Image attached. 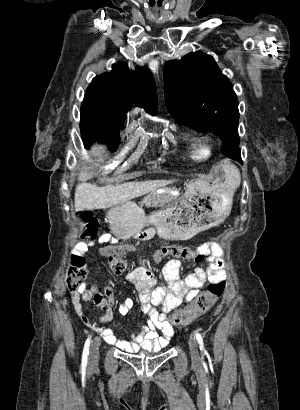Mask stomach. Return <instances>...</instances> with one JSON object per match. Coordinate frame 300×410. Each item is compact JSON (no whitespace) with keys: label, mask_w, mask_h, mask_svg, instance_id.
Masks as SVG:
<instances>
[{"label":"stomach","mask_w":300,"mask_h":410,"mask_svg":"<svg viewBox=\"0 0 300 410\" xmlns=\"http://www.w3.org/2000/svg\"><path fill=\"white\" fill-rule=\"evenodd\" d=\"M157 194L154 190L148 198ZM232 196L226 178L217 183L195 179L176 203L149 216L136 203L127 201L111 207L106 217L111 232L119 239H127L153 224L161 238L187 240L222 223L231 212Z\"/></svg>","instance_id":"stomach-1"}]
</instances>
